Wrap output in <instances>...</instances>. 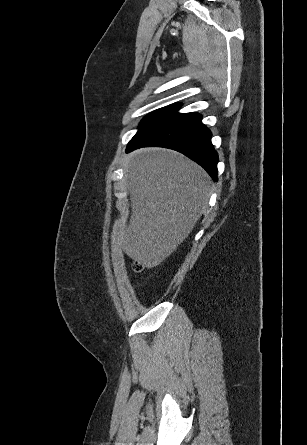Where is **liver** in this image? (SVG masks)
Instances as JSON below:
<instances>
[{"instance_id":"obj_1","label":"liver","mask_w":307,"mask_h":445,"mask_svg":"<svg viewBox=\"0 0 307 445\" xmlns=\"http://www.w3.org/2000/svg\"><path fill=\"white\" fill-rule=\"evenodd\" d=\"M130 223L116 225L115 243L146 269L167 259L208 206L212 180L193 160L167 148L141 150L126 166Z\"/></svg>"}]
</instances>
